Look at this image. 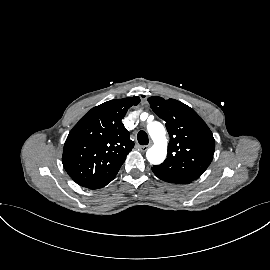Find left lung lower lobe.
<instances>
[{"instance_id": "1", "label": "left lung lower lobe", "mask_w": 270, "mask_h": 270, "mask_svg": "<svg viewBox=\"0 0 270 270\" xmlns=\"http://www.w3.org/2000/svg\"><path fill=\"white\" fill-rule=\"evenodd\" d=\"M152 171L159 179L165 182H170V183H175V184H189L192 182V180H190L187 177H184L176 173L163 171L155 167H152Z\"/></svg>"}]
</instances>
